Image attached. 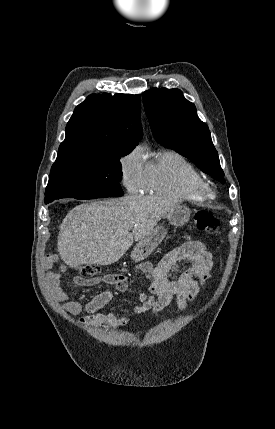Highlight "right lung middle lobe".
Segmentation results:
<instances>
[{
    "instance_id": "dd1d6c3e",
    "label": "right lung middle lobe",
    "mask_w": 275,
    "mask_h": 429,
    "mask_svg": "<svg viewBox=\"0 0 275 429\" xmlns=\"http://www.w3.org/2000/svg\"><path fill=\"white\" fill-rule=\"evenodd\" d=\"M127 152L57 156L45 191L44 202L61 198L94 199L124 193L120 158Z\"/></svg>"
}]
</instances>
